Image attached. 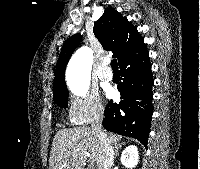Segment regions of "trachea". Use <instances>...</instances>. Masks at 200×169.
Instances as JSON below:
<instances>
[{"mask_svg": "<svg viewBox=\"0 0 200 169\" xmlns=\"http://www.w3.org/2000/svg\"><path fill=\"white\" fill-rule=\"evenodd\" d=\"M111 67H112L113 71H118V63H117L116 59H113L111 61Z\"/></svg>", "mask_w": 200, "mask_h": 169, "instance_id": "obj_1", "label": "trachea"}]
</instances>
